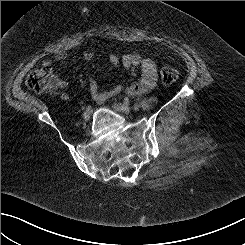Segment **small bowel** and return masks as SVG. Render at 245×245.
Returning <instances> with one entry per match:
<instances>
[{
	"label": "small bowel",
	"mask_w": 245,
	"mask_h": 245,
	"mask_svg": "<svg viewBox=\"0 0 245 245\" xmlns=\"http://www.w3.org/2000/svg\"><path fill=\"white\" fill-rule=\"evenodd\" d=\"M67 54L65 52H58L54 59L59 62L66 58ZM86 59H91L93 53L86 52ZM110 62L113 65L123 64L124 67L134 71L135 69H140V78L132 82L131 84L124 86L118 84L108 90L100 91L96 82L92 79H89V90L91 97L97 103H104L111 97H114L120 93H125L130 96L141 95L150 92L156 85L157 81V67L153 60L150 58L144 57L140 54L130 53L123 56L117 54H112L109 57ZM45 65H50L49 61H44Z\"/></svg>",
	"instance_id": "c3829d8e"
}]
</instances>
